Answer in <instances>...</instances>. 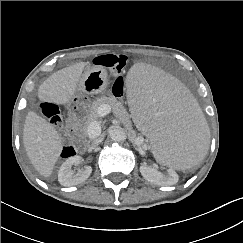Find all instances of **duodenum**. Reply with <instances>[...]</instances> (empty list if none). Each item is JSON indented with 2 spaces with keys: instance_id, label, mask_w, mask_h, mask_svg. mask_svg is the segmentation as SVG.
<instances>
[{
  "instance_id": "410a0bca",
  "label": "duodenum",
  "mask_w": 243,
  "mask_h": 243,
  "mask_svg": "<svg viewBox=\"0 0 243 243\" xmlns=\"http://www.w3.org/2000/svg\"><path fill=\"white\" fill-rule=\"evenodd\" d=\"M68 133L70 136L76 138L77 143H78V149L79 150H84L87 147V142L80 138V129L78 126V121L76 118H72L71 122L68 124V129H67Z\"/></svg>"
}]
</instances>
